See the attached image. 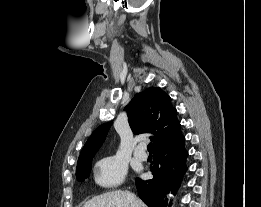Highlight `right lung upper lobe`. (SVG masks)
I'll list each match as a JSON object with an SVG mask.
<instances>
[{
  "label": "right lung upper lobe",
  "instance_id": "cb5924a9",
  "mask_svg": "<svg viewBox=\"0 0 261 207\" xmlns=\"http://www.w3.org/2000/svg\"><path fill=\"white\" fill-rule=\"evenodd\" d=\"M125 110L134 134H154L150 139L154 143L155 150L183 136L171 98L158 87H150L136 94ZM111 125L112 122L104 123L92 133L81 151L77 164L95 155L103 144Z\"/></svg>",
  "mask_w": 261,
  "mask_h": 207
}]
</instances>
